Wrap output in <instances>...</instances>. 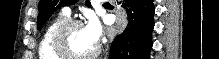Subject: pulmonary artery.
<instances>
[{
	"mask_svg": "<svg viewBox=\"0 0 219 59\" xmlns=\"http://www.w3.org/2000/svg\"><path fill=\"white\" fill-rule=\"evenodd\" d=\"M62 14L69 16L71 14V10L69 7H63L62 8Z\"/></svg>",
	"mask_w": 219,
	"mask_h": 59,
	"instance_id": "obj_1",
	"label": "pulmonary artery"
}]
</instances>
